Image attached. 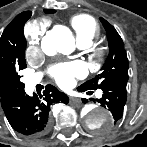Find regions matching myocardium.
Returning a JSON list of instances; mask_svg holds the SVG:
<instances>
[{"label":"myocardium","mask_w":147,"mask_h":147,"mask_svg":"<svg viewBox=\"0 0 147 147\" xmlns=\"http://www.w3.org/2000/svg\"><path fill=\"white\" fill-rule=\"evenodd\" d=\"M91 53H92V57L94 59L99 60L102 58L104 51H103V48L96 46V45H92L91 46Z\"/></svg>","instance_id":"obj_1"}]
</instances>
